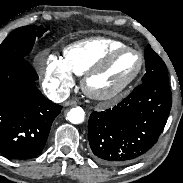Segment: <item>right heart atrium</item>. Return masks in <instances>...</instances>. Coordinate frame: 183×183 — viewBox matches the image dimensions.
<instances>
[{
    "mask_svg": "<svg viewBox=\"0 0 183 183\" xmlns=\"http://www.w3.org/2000/svg\"><path fill=\"white\" fill-rule=\"evenodd\" d=\"M44 86L55 97L68 94L74 80L71 72L65 66L63 60L55 55H48L42 64L37 63Z\"/></svg>",
    "mask_w": 183,
    "mask_h": 183,
    "instance_id": "d8ad5b80",
    "label": "right heart atrium"
}]
</instances>
